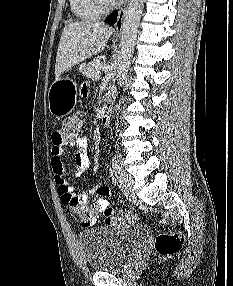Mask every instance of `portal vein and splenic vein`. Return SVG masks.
Masks as SVG:
<instances>
[{"instance_id":"1","label":"portal vein and splenic vein","mask_w":233,"mask_h":286,"mask_svg":"<svg viewBox=\"0 0 233 286\" xmlns=\"http://www.w3.org/2000/svg\"><path fill=\"white\" fill-rule=\"evenodd\" d=\"M100 77V71H98L96 74H95V78H99Z\"/></svg>"}]
</instances>
